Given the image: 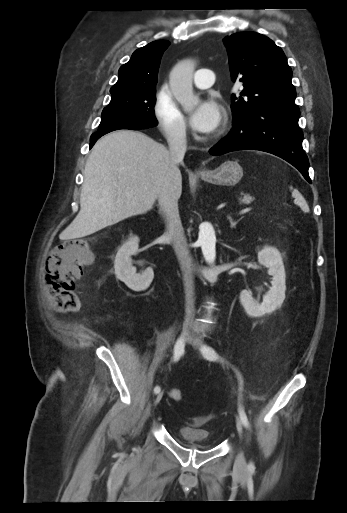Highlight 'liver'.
Segmentation results:
<instances>
[{
	"label": "liver",
	"instance_id": "liver-1",
	"mask_svg": "<svg viewBox=\"0 0 347 513\" xmlns=\"http://www.w3.org/2000/svg\"><path fill=\"white\" fill-rule=\"evenodd\" d=\"M167 183L180 197L181 172L172 167L165 146L138 131L106 134L86 161L80 211L61 238L85 237L148 212Z\"/></svg>",
	"mask_w": 347,
	"mask_h": 513
}]
</instances>
